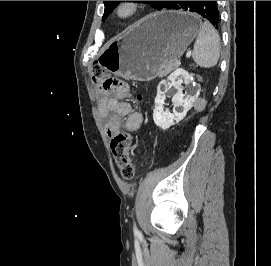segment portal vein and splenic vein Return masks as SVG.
Instances as JSON below:
<instances>
[{
	"label": "portal vein and splenic vein",
	"mask_w": 271,
	"mask_h": 266,
	"mask_svg": "<svg viewBox=\"0 0 271 266\" xmlns=\"http://www.w3.org/2000/svg\"><path fill=\"white\" fill-rule=\"evenodd\" d=\"M190 56H191V51L188 50V51L186 52V58H190ZM177 64L180 65L181 63H180L179 61H177Z\"/></svg>",
	"instance_id": "1"
}]
</instances>
